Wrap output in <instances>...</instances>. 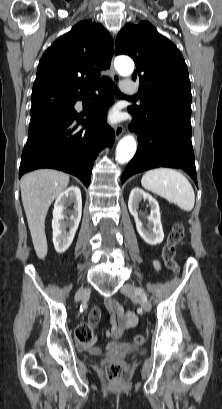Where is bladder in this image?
Masks as SVG:
<instances>
[{
	"label": "bladder",
	"instance_id": "1",
	"mask_svg": "<svg viewBox=\"0 0 222 409\" xmlns=\"http://www.w3.org/2000/svg\"><path fill=\"white\" fill-rule=\"evenodd\" d=\"M144 350L141 348H137V347H126V348H122L119 349L117 351V354H125V355H135V354H139L142 353Z\"/></svg>",
	"mask_w": 222,
	"mask_h": 409
}]
</instances>
